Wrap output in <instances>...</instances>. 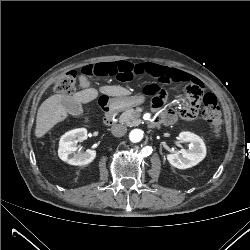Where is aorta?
Returning <instances> with one entry per match:
<instances>
[{"mask_svg":"<svg viewBox=\"0 0 250 250\" xmlns=\"http://www.w3.org/2000/svg\"><path fill=\"white\" fill-rule=\"evenodd\" d=\"M130 141L137 143L143 138V131L140 129H134L129 134Z\"/></svg>","mask_w":250,"mask_h":250,"instance_id":"762f6f07","label":"aorta"}]
</instances>
